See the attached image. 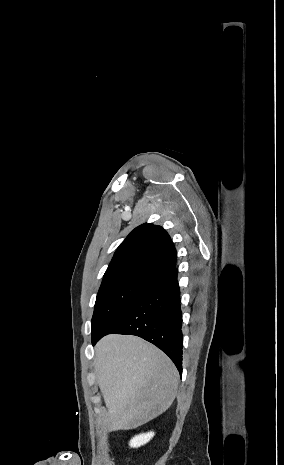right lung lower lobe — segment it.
Listing matches in <instances>:
<instances>
[{"mask_svg":"<svg viewBox=\"0 0 284 465\" xmlns=\"http://www.w3.org/2000/svg\"><path fill=\"white\" fill-rule=\"evenodd\" d=\"M182 312L177 269L153 283L92 339L94 346L110 333L139 336L160 348L182 375Z\"/></svg>","mask_w":284,"mask_h":465,"instance_id":"98d812e1","label":"right lung lower lobe"}]
</instances>
